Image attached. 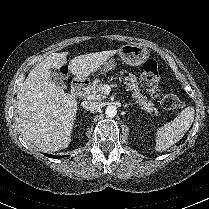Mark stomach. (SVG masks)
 I'll return each instance as SVG.
<instances>
[{
    "label": "stomach",
    "instance_id": "0dacf381",
    "mask_svg": "<svg viewBox=\"0 0 209 209\" xmlns=\"http://www.w3.org/2000/svg\"><path fill=\"white\" fill-rule=\"evenodd\" d=\"M119 56L128 65L139 66L149 58V50L142 45L126 44L121 46V48L119 49ZM114 66V60L110 59L103 64L101 71L107 72L111 70Z\"/></svg>",
    "mask_w": 209,
    "mask_h": 209
}]
</instances>
